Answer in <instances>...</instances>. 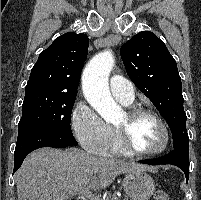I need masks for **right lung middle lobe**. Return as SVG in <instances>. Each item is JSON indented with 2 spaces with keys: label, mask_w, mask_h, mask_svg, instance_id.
I'll return each mask as SVG.
<instances>
[{
  "label": "right lung middle lobe",
  "mask_w": 201,
  "mask_h": 200,
  "mask_svg": "<svg viewBox=\"0 0 201 200\" xmlns=\"http://www.w3.org/2000/svg\"><path fill=\"white\" fill-rule=\"evenodd\" d=\"M75 99L76 95L50 91L25 93L18 129L42 125L73 135L70 119Z\"/></svg>",
  "instance_id": "obj_1"
}]
</instances>
